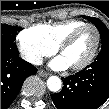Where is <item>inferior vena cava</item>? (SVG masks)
Returning <instances> with one entry per match:
<instances>
[{
	"label": "inferior vena cava",
	"instance_id": "1",
	"mask_svg": "<svg viewBox=\"0 0 109 109\" xmlns=\"http://www.w3.org/2000/svg\"><path fill=\"white\" fill-rule=\"evenodd\" d=\"M30 62L35 65H41L43 63V58L41 56H34L31 58Z\"/></svg>",
	"mask_w": 109,
	"mask_h": 109
}]
</instances>
